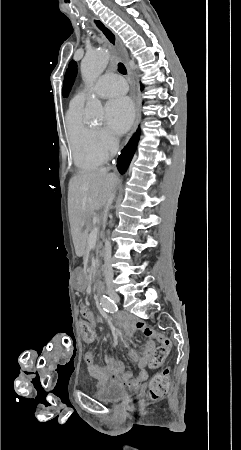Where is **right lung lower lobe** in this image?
<instances>
[{
  "mask_svg": "<svg viewBox=\"0 0 241 450\" xmlns=\"http://www.w3.org/2000/svg\"><path fill=\"white\" fill-rule=\"evenodd\" d=\"M141 89H143V86L141 85ZM140 136V127L137 129L134 136L130 139L128 144L125 146V148L122 150L120 156L117 160V168L121 174H124V172L127 170L130 161L135 153L138 141Z\"/></svg>",
  "mask_w": 241,
  "mask_h": 450,
  "instance_id": "obj_1",
  "label": "right lung lower lobe"
}]
</instances>
